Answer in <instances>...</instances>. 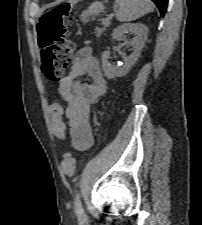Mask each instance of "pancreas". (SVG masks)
<instances>
[{
	"instance_id": "cf45deb5",
	"label": "pancreas",
	"mask_w": 202,
	"mask_h": 225,
	"mask_svg": "<svg viewBox=\"0 0 202 225\" xmlns=\"http://www.w3.org/2000/svg\"><path fill=\"white\" fill-rule=\"evenodd\" d=\"M102 25L104 26L103 28H96V29H95V35H96L97 37H100V35H101L102 32L104 31L105 27L109 26V24L106 23V22L104 21V19L102 20Z\"/></svg>"
}]
</instances>
